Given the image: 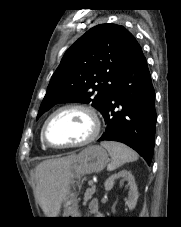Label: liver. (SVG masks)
<instances>
[{
  "label": "liver",
  "mask_w": 181,
  "mask_h": 227,
  "mask_svg": "<svg viewBox=\"0 0 181 227\" xmlns=\"http://www.w3.org/2000/svg\"><path fill=\"white\" fill-rule=\"evenodd\" d=\"M77 155L45 160L36 167V191L40 205L49 217L59 215L70 190L71 166Z\"/></svg>",
  "instance_id": "6515ba94"
}]
</instances>
